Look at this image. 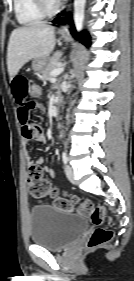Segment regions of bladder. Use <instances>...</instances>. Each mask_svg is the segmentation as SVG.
Here are the masks:
<instances>
[{
  "label": "bladder",
  "mask_w": 134,
  "mask_h": 281,
  "mask_svg": "<svg viewBox=\"0 0 134 281\" xmlns=\"http://www.w3.org/2000/svg\"><path fill=\"white\" fill-rule=\"evenodd\" d=\"M85 216L48 205L30 211V239L39 246L61 251L71 245L88 228Z\"/></svg>",
  "instance_id": "1"
}]
</instances>
